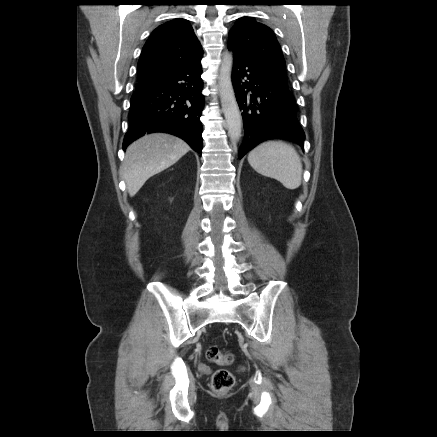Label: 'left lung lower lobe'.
<instances>
[{"label": "left lung lower lobe", "mask_w": 437, "mask_h": 437, "mask_svg": "<svg viewBox=\"0 0 437 437\" xmlns=\"http://www.w3.org/2000/svg\"><path fill=\"white\" fill-rule=\"evenodd\" d=\"M233 53L232 83L245 130L238 158L267 139L284 138L303 147L305 134L297 120L295 99L288 86Z\"/></svg>", "instance_id": "0a47b994"}]
</instances>
